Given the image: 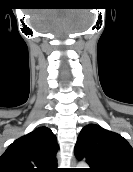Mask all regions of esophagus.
I'll return each instance as SVG.
<instances>
[{
  "label": "esophagus",
  "instance_id": "1",
  "mask_svg": "<svg viewBox=\"0 0 133 172\" xmlns=\"http://www.w3.org/2000/svg\"><path fill=\"white\" fill-rule=\"evenodd\" d=\"M71 165H72L73 167L76 165V159H75V158L72 159Z\"/></svg>",
  "mask_w": 133,
  "mask_h": 172
}]
</instances>
